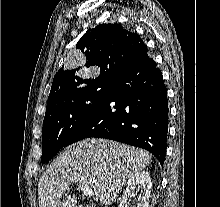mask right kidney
Here are the masks:
<instances>
[{
    "instance_id": "1",
    "label": "right kidney",
    "mask_w": 220,
    "mask_h": 207,
    "mask_svg": "<svg viewBox=\"0 0 220 207\" xmlns=\"http://www.w3.org/2000/svg\"><path fill=\"white\" fill-rule=\"evenodd\" d=\"M136 186L137 190L139 191L137 196V207H149L152 183L150 175L147 171H139L130 177L119 207H128V196L134 195Z\"/></svg>"
}]
</instances>
